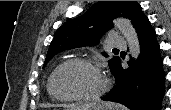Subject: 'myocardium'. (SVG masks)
<instances>
[{"mask_svg": "<svg viewBox=\"0 0 171 110\" xmlns=\"http://www.w3.org/2000/svg\"><path fill=\"white\" fill-rule=\"evenodd\" d=\"M70 64H79L84 65L87 67H90L91 69L95 70L97 73H99L102 77V86L101 88L92 95H75V96H67L59 93L55 88V79L59 71L64 68L67 65ZM49 91L52 94L53 97H55L58 100L61 101H83V102H93L100 99L108 90L109 88V80L105 73L92 61L82 58H73L68 59L64 62H62L59 66L55 68V70L52 72L50 79H49Z\"/></svg>", "mask_w": 171, "mask_h": 110, "instance_id": "obj_1", "label": "myocardium"}]
</instances>
